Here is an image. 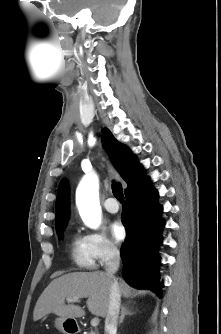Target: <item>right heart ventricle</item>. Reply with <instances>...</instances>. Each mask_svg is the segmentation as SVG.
<instances>
[{
	"instance_id": "obj_1",
	"label": "right heart ventricle",
	"mask_w": 221,
	"mask_h": 334,
	"mask_svg": "<svg viewBox=\"0 0 221 334\" xmlns=\"http://www.w3.org/2000/svg\"><path fill=\"white\" fill-rule=\"evenodd\" d=\"M70 256L73 263L79 268L93 269L95 267V261L87 239L78 233L73 234L71 237Z\"/></svg>"
}]
</instances>
